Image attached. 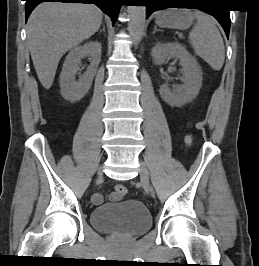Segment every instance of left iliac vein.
I'll return each mask as SVG.
<instances>
[{
  "label": "left iliac vein",
  "instance_id": "4c4485c4",
  "mask_svg": "<svg viewBox=\"0 0 259 266\" xmlns=\"http://www.w3.org/2000/svg\"><path fill=\"white\" fill-rule=\"evenodd\" d=\"M139 172H140V180H141V184L144 188V190L151 196L152 195V192H151V189H149V186H151L150 184V181H149V172H148V169L145 165L144 162L140 161V169H139Z\"/></svg>",
  "mask_w": 259,
  "mask_h": 266
}]
</instances>
